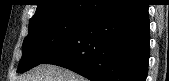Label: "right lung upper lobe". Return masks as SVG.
Wrapping results in <instances>:
<instances>
[{"mask_svg":"<svg viewBox=\"0 0 169 81\" xmlns=\"http://www.w3.org/2000/svg\"><path fill=\"white\" fill-rule=\"evenodd\" d=\"M117 0H38V7L30 22L50 16H79L90 18Z\"/></svg>","mask_w":169,"mask_h":81,"instance_id":"1","label":"right lung upper lobe"}]
</instances>
